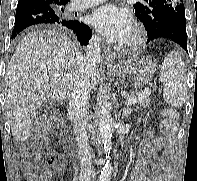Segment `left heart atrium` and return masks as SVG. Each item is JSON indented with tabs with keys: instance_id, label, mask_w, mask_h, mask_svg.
<instances>
[{
	"instance_id": "left-heart-atrium-1",
	"label": "left heart atrium",
	"mask_w": 197,
	"mask_h": 181,
	"mask_svg": "<svg viewBox=\"0 0 197 181\" xmlns=\"http://www.w3.org/2000/svg\"><path fill=\"white\" fill-rule=\"evenodd\" d=\"M92 25L110 40L123 42L133 29L130 13L114 4L97 8L90 16Z\"/></svg>"
}]
</instances>
